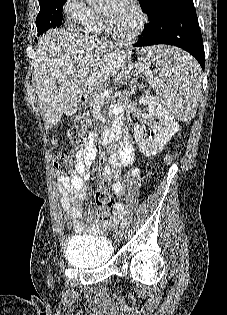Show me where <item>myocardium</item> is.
Returning a JSON list of instances; mask_svg holds the SVG:
<instances>
[{
    "label": "myocardium",
    "instance_id": "1",
    "mask_svg": "<svg viewBox=\"0 0 227 315\" xmlns=\"http://www.w3.org/2000/svg\"><path fill=\"white\" fill-rule=\"evenodd\" d=\"M127 2L134 9V11L138 17V25H137L136 29L131 34L125 35V34H120V33L116 32L114 30V28L112 27V25L108 19V16L104 12H101V18H102V22H103V25L105 27L106 32L108 34H110L111 36H113L114 38H117V39L122 40V41H131V40H134L135 38H137L142 33V31L144 30V27H145L146 22H147V18H146L145 13L141 9V7L136 3V1L135 0H127Z\"/></svg>",
    "mask_w": 227,
    "mask_h": 315
}]
</instances>
